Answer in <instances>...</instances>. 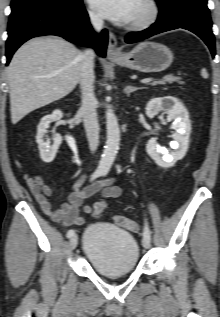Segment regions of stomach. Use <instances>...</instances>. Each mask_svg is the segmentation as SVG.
Returning <instances> with one entry per match:
<instances>
[{
	"mask_svg": "<svg viewBox=\"0 0 220 317\" xmlns=\"http://www.w3.org/2000/svg\"><path fill=\"white\" fill-rule=\"evenodd\" d=\"M111 61L119 66L139 72H160L171 65L173 54L163 44L145 41L138 44L129 53L111 58Z\"/></svg>",
	"mask_w": 220,
	"mask_h": 317,
	"instance_id": "obj_1",
	"label": "stomach"
}]
</instances>
